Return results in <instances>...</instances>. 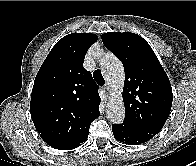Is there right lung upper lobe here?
<instances>
[{
	"label": "right lung upper lobe",
	"instance_id": "cb5924a9",
	"mask_svg": "<svg viewBox=\"0 0 196 166\" xmlns=\"http://www.w3.org/2000/svg\"><path fill=\"white\" fill-rule=\"evenodd\" d=\"M98 37L72 33L60 39L39 69L32 89L33 123L46 143H82L100 115L99 86L83 68L89 47Z\"/></svg>",
	"mask_w": 196,
	"mask_h": 166
}]
</instances>
